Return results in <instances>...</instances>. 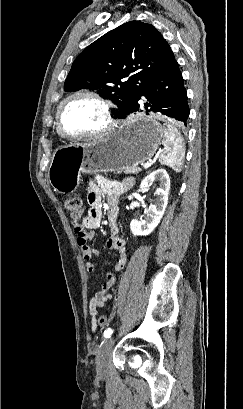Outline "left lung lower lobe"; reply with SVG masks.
I'll return each mask as SVG.
<instances>
[{"label":"left lung lower lobe","instance_id":"obj_1","mask_svg":"<svg viewBox=\"0 0 243 409\" xmlns=\"http://www.w3.org/2000/svg\"><path fill=\"white\" fill-rule=\"evenodd\" d=\"M141 96L145 99L141 100ZM142 111L148 115L149 112L166 115L186 125L189 116L187 92L177 62L146 84L131 106L129 114Z\"/></svg>","mask_w":243,"mask_h":409}]
</instances>
